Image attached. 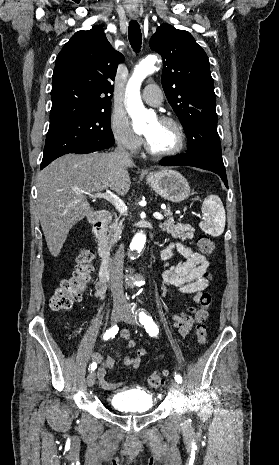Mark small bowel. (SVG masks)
Returning <instances> with one entry per match:
<instances>
[{"label":"small bowel","mask_w":279,"mask_h":465,"mask_svg":"<svg viewBox=\"0 0 279 465\" xmlns=\"http://www.w3.org/2000/svg\"><path fill=\"white\" fill-rule=\"evenodd\" d=\"M175 251L185 258L183 262L170 263V258ZM161 258L164 262V271L162 273L163 291H166L167 288H173L180 293L191 295L194 302H199L200 295L208 288L212 279L211 274L208 273L209 262L206 257L193 252L191 248L182 243L173 242L162 250ZM106 288V283L99 280L95 285V296L103 299L106 295ZM195 312L194 307H188L180 314L170 316L173 320V327L178 329L182 337L187 336L192 330L195 319L191 315L195 314ZM120 336L127 342L130 349H134V354L124 359V365L131 367L133 370L138 369L142 359L147 354V350L136 348V342L132 339L128 330H123ZM91 359L93 363L99 364L97 376L103 389L114 390L128 383V380L117 383L108 380V370L115 367V359L112 356H104L99 352H95L92 354Z\"/></svg>","instance_id":"1"}]
</instances>
